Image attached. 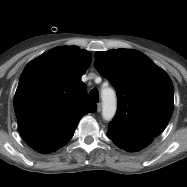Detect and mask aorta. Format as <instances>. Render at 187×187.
Returning a JSON list of instances; mask_svg holds the SVG:
<instances>
[{
    "label": "aorta",
    "instance_id": "aorta-1",
    "mask_svg": "<svg viewBox=\"0 0 187 187\" xmlns=\"http://www.w3.org/2000/svg\"><path fill=\"white\" fill-rule=\"evenodd\" d=\"M103 102L102 116L105 120L110 121L116 113V95L110 87L103 88L101 91Z\"/></svg>",
    "mask_w": 187,
    "mask_h": 187
}]
</instances>
